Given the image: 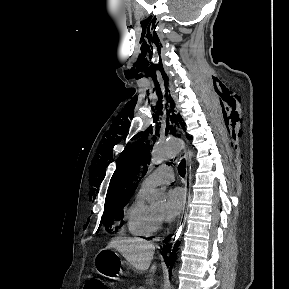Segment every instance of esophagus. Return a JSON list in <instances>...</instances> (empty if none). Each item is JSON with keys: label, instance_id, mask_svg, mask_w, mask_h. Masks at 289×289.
<instances>
[{"label": "esophagus", "instance_id": "1", "mask_svg": "<svg viewBox=\"0 0 289 289\" xmlns=\"http://www.w3.org/2000/svg\"><path fill=\"white\" fill-rule=\"evenodd\" d=\"M185 163H186V176H185V195H186V201H185V205L182 209V213L180 216V222H179V228L177 229L176 233L174 234L173 237H175V239H178L182 233L183 227L185 225V215H186V210H187V200L189 198V192H188V184H189V180H190V172H191V165H190V161L187 158V156L185 155Z\"/></svg>", "mask_w": 289, "mask_h": 289}]
</instances>
